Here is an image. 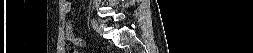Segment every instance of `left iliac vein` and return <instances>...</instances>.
<instances>
[{"mask_svg": "<svg viewBox=\"0 0 253 53\" xmlns=\"http://www.w3.org/2000/svg\"><path fill=\"white\" fill-rule=\"evenodd\" d=\"M103 28H104V24L99 23V24L97 25V29H98V32H99L100 34L103 32Z\"/></svg>", "mask_w": 253, "mask_h": 53, "instance_id": "obj_1", "label": "left iliac vein"}]
</instances>
